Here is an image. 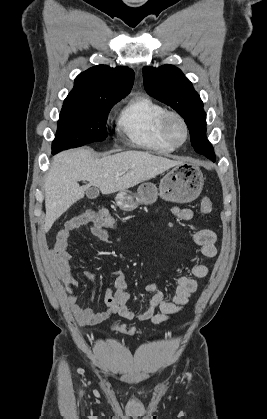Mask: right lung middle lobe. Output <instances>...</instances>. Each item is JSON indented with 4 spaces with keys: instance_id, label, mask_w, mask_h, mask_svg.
<instances>
[{
    "instance_id": "right-lung-middle-lobe-1",
    "label": "right lung middle lobe",
    "mask_w": 267,
    "mask_h": 419,
    "mask_svg": "<svg viewBox=\"0 0 267 419\" xmlns=\"http://www.w3.org/2000/svg\"><path fill=\"white\" fill-rule=\"evenodd\" d=\"M125 95L90 100L65 99L52 153L106 139V121L110 109Z\"/></svg>"
}]
</instances>
